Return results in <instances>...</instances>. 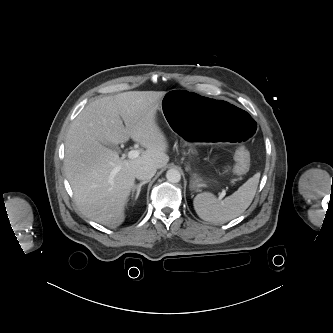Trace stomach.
Returning <instances> with one entry per match:
<instances>
[{
    "label": "stomach",
    "mask_w": 333,
    "mask_h": 333,
    "mask_svg": "<svg viewBox=\"0 0 333 333\" xmlns=\"http://www.w3.org/2000/svg\"><path fill=\"white\" fill-rule=\"evenodd\" d=\"M158 111L156 104L146 106L147 116L155 122L167 123L171 130L192 145L209 142L243 144L249 141L256 127L253 114L235 103L229 105L213 94L190 88L166 92ZM210 183L193 173L191 189Z\"/></svg>",
    "instance_id": "0dacf381"
}]
</instances>
